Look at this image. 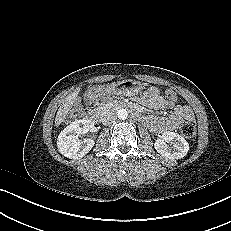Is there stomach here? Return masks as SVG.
<instances>
[{"mask_svg": "<svg viewBox=\"0 0 231 231\" xmlns=\"http://www.w3.org/2000/svg\"><path fill=\"white\" fill-rule=\"evenodd\" d=\"M113 90L117 94L137 95L142 92L143 86L139 81L128 79L122 80L113 85Z\"/></svg>", "mask_w": 231, "mask_h": 231, "instance_id": "0dacf381", "label": "stomach"}]
</instances>
